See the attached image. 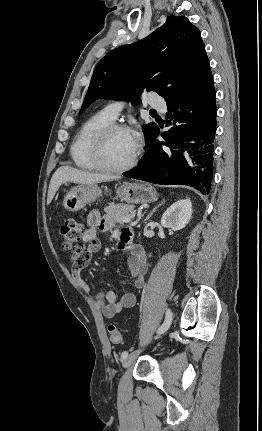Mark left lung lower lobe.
I'll return each mask as SVG.
<instances>
[{"label": "left lung lower lobe", "instance_id": "left-lung-lower-lobe-1", "mask_svg": "<svg viewBox=\"0 0 262 431\" xmlns=\"http://www.w3.org/2000/svg\"><path fill=\"white\" fill-rule=\"evenodd\" d=\"M170 129L147 142L138 166L123 175L161 185H187L208 194L213 175L216 103L213 77L186 96L167 102Z\"/></svg>", "mask_w": 262, "mask_h": 431}]
</instances>
